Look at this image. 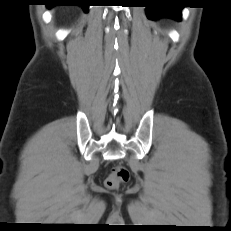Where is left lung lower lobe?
Listing matches in <instances>:
<instances>
[{
  "label": "left lung lower lobe",
  "mask_w": 231,
  "mask_h": 231,
  "mask_svg": "<svg viewBox=\"0 0 231 231\" xmlns=\"http://www.w3.org/2000/svg\"><path fill=\"white\" fill-rule=\"evenodd\" d=\"M178 3L177 0H146L144 2L149 19L169 17L181 21L182 7L177 5Z\"/></svg>",
  "instance_id": "left-lung-lower-lobe-1"
}]
</instances>
